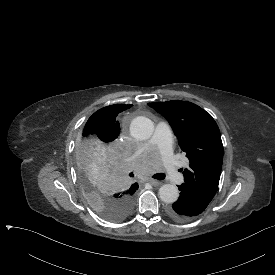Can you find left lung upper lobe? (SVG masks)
Masks as SVG:
<instances>
[{"label": "left lung upper lobe", "mask_w": 275, "mask_h": 275, "mask_svg": "<svg viewBox=\"0 0 275 275\" xmlns=\"http://www.w3.org/2000/svg\"><path fill=\"white\" fill-rule=\"evenodd\" d=\"M148 105L168 120L181 150L189 159V168L183 170L185 182L182 185L213 198L223 161V144L215 120L191 102L172 100Z\"/></svg>", "instance_id": "obj_1"}]
</instances>
